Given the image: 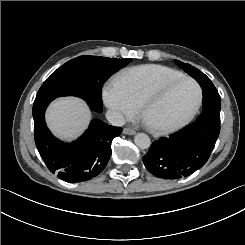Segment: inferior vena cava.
Masks as SVG:
<instances>
[{
	"instance_id": "1",
	"label": "inferior vena cava",
	"mask_w": 245,
	"mask_h": 245,
	"mask_svg": "<svg viewBox=\"0 0 245 245\" xmlns=\"http://www.w3.org/2000/svg\"><path fill=\"white\" fill-rule=\"evenodd\" d=\"M105 117L107 121L114 126H122L125 123L122 113L117 110H107L105 112Z\"/></svg>"
}]
</instances>
